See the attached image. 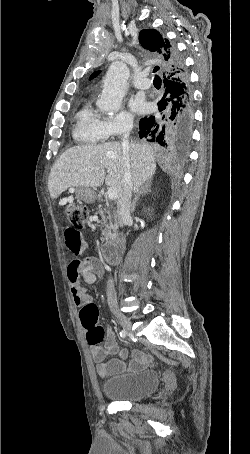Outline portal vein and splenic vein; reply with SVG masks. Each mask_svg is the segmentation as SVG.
Here are the masks:
<instances>
[{"label": "portal vein and splenic vein", "instance_id": "portal-vein-and-splenic-vein-1", "mask_svg": "<svg viewBox=\"0 0 250 454\" xmlns=\"http://www.w3.org/2000/svg\"><path fill=\"white\" fill-rule=\"evenodd\" d=\"M107 195H108L109 200H116L118 197L117 189L114 187L109 188Z\"/></svg>", "mask_w": 250, "mask_h": 454}]
</instances>
